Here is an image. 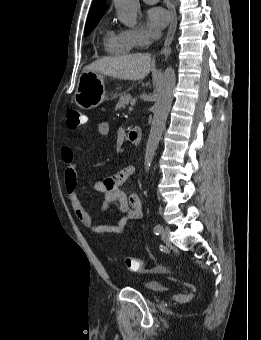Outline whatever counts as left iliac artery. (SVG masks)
I'll use <instances>...</instances> for the list:
<instances>
[{"mask_svg":"<svg viewBox=\"0 0 261 340\" xmlns=\"http://www.w3.org/2000/svg\"><path fill=\"white\" fill-rule=\"evenodd\" d=\"M162 229H163L162 225L158 224L154 227V233L156 235H159V233L161 232Z\"/></svg>","mask_w":261,"mask_h":340,"instance_id":"left-iliac-artery-1","label":"left iliac artery"}]
</instances>
